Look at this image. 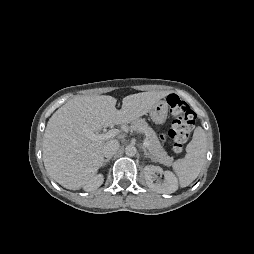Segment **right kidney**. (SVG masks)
I'll return each instance as SVG.
<instances>
[{
    "mask_svg": "<svg viewBox=\"0 0 254 254\" xmlns=\"http://www.w3.org/2000/svg\"><path fill=\"white\" fill-rule=\"evenodd\" d=\"M103 180H104L103 175L98 174L84 188L88 191L95 190V189H97L98 187H100L102 185Z\"/></svg>",
    "mask_w": 254,
    "mask_h": 254,
    "instance_id": "ca27d5eb",
    "label": "right kidney"
}]
</instances>
